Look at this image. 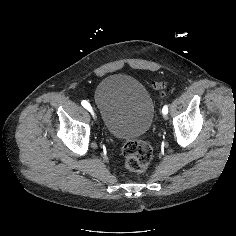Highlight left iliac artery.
Returning <instances> with one entry per match:
<instances>
[{
  "instance_id": "obj_1",
  "label": "left iliac artery",
  "mask_w": 236,
  "mask_h": 236,
  "mask_svg": "<svg viewBox=\"0 0 236 236\" xmlns=\"http://www.w3.org/2000/svg\"><path fill=\"white\" fill-rule=\"evenodd\" d=\"M164 111H165L166 113H168V106H167V105H165V106L163 107L162 113H163ZM163 114H164V113H163Z\"/></svg>"
}]
</instances>
